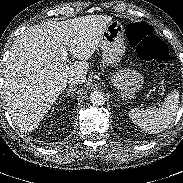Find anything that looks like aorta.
<instances>
[{"instance_id": "762f6f07", "label": "aorta", "mask_w": 183, "mask_h": 183, "mask_svg": "<svg viewBox=\"0 0 183 183\" xmlns=\"http://www.w3.org/2000/svg\"><path fill=\"white\" fill-rule=\"evenodd\" d=\"M90 101L93 105H103L105 103V95L101 91H93L90 94Z\"/></svg>"}]
</instances>
